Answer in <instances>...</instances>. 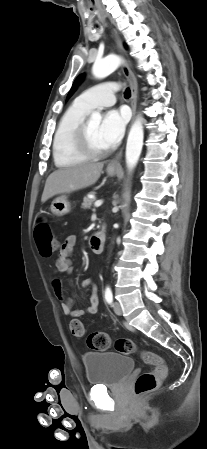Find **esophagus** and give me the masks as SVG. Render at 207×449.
Returning <instances> with one entry per match:
<instances>
[{"instance_id": "34e87169", "label": "esophagus", "mask_w": 207, "mask_h": 449, "mask_svg": "<svg viewBox=\"0 0 207 449\" xmlns=\"http://www.w3.org/2000/svg\"><path fill=\"white\" fill-rule=\"evenodd\" d=\"M115 37H116V43H117L118 49L120 50V52H122L123 51V46H122V43H121L120 39L116 35V33H115ZM122 71H123V74L126 77L127 81L130 84V87H131L130 104H131V108H132V114L134 116L135 115V111H136L137 92H138L137 80H136V77L133 74V72L129 69V67L125 63L122 64ZM121 155H122V150H120L118 152V154L116 155V157L108 164V167L109 168L119 167L120 166Z\"/></svg>"}]
</instances>
